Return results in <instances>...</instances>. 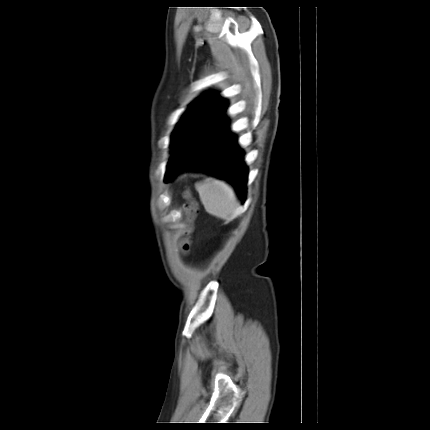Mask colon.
<instances>
[{
  "label": "colon",
  "mask_w": 430,
  "mask_h": 430,
  "mask_svg": "<svg viewBox=\"0 0 430 430\" xmlns=\"http://www.w3.org/2000/svg\"><path fill=\"white\" fill-rule=\"evenodd\" d=\"M185 197L188 200V204H187V215L189 217H194L195 211H196V204L195 202L192 200L191 196L189 193H186ZM189 231L186 232V235L181 243V250L183 251L184 254H188L189 249H190V238H189Z\"/></svg>",
  "instance_id": "obj_1"
}]
</instances>
